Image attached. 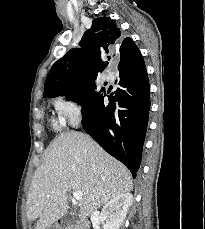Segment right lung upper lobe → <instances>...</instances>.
I'll list each match as a JSON object with an SVG mask.
<instances>
[{
  "label": "right lung upper lobe",
  "instance_id": "obj_1",
  "mask_svg": "<svg viewBox=\"0 0 205 229\" xmlns=\"http://www.w3.org/2000/svg\"><path fill=\"white\" fill-rule=\"evenodd\" d=\"M121 40V30L111 18L93 20L81 38L80 48L69 50L53 64L44 85V97L67 96L80 85L94 83L116 51L120 55L119 70L137 66L143 59L139 49L132 39Z\"/></svg>",
  "mask_w": 205,
  "mask_h": 229
}]
</instances>
